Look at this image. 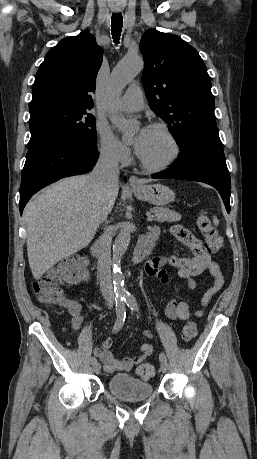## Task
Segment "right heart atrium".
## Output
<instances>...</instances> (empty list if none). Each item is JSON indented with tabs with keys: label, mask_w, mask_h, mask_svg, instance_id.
I'll list each match as a JSON object with an SVG mask.
<instances>
[{
	"label": "right heart atrium",
	"mask_w": 257,
	"mask_h": 459,
	"mask_svg": "<svg viewBox=\"0 0 257 459\" xmlns=\"http://www.w3.org/2000/svg\"><path fill=\"white\" fill-rule=\"evenodd\" d=\"M97 132L99 151L106 161L114 164H127L130 161V149L118 140L106 126L98 125Z\"/></svg>",
	"instance_id": "1"
}]
</instances>
